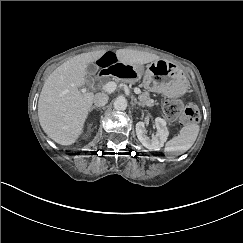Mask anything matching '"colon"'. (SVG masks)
Listing matches in <instances>:
<instances>
[{
	"instance_id": "1",
	"label": "colon",
	"mask_w": 243,
	"mask_h": 243,
	"mask_svg": "<svg viewBox=\"0 0 243 243\" xmlns=\"http://www.w3.org/2000/svg\"><path fill=\"white\" fill-rule=\"evenodd\" d=\"M163 112L169 119H179L182 125L196 123L200 114L196 105L184 106L179 99H169L163 105Z\"/></svg>"
}]
</instances>
